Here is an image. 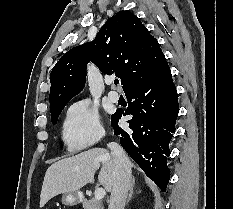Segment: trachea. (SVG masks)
Returning <instances> with one entry per match:
<instances>
[{
    "mask_svg": "<svg viewBox=\"0 0 233 209\" xmlns=\"http://www.w3.org/2000/svg\"><path fill=\"white\" fill-rule=\"evenodd\" d=\"M114 84L115 85L119 84V80L118 79L114 80Z\"/></svg>",
    "mask_w": 233,
    "mask_h": 209,
    "instance_id": "trachea-1",
    "label": "trachea"
}]
</instances>
